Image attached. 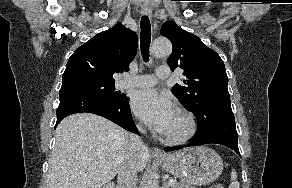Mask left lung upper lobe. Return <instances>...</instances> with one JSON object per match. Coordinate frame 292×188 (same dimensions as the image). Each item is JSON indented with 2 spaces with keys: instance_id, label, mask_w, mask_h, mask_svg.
I'll use <instances>...</instances> for the list:
<instances>
[{
  "instance_id": "1",
  "label": "left lung upper lobe",
  "mask_w": 292,
  "mask_h": 188,
  "mask_svg": "<svg viewBox=\"0 0 292 188\" xmlns=\"http://www.w3.org/2000/svg\"><path fill=\"white\" fill-rule=\"evenodd\" d=\"M161 34L173 45L168 65L172 71L184 70L183 84H176L172 92L194 113L199 130L224 117L234 116L227 89L228 77L220 56L173 21L163 24Z\"/></svg>"
}]
</instances>
